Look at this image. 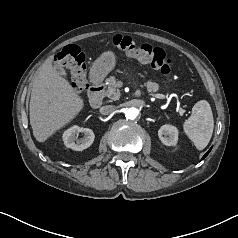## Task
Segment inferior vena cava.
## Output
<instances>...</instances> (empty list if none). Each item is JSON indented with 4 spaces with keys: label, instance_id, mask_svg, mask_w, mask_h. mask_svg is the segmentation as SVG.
Wrapping results in <instances>:
<instances>
[{
    "label": "inferior vena cava",
    "instance_id": "inferior-vena-cava-1",
    "mask_svg": "<svg viewBox=\"0 0 238 238\" xmlns=\"http://www.w3.org/2000/svg\"><path fill=\"white\" fill-rule=\"evenodd\" d=\"M115 109L116 107L114 105H106L101 107L100 111L102 114L108 115V114H111Z\"/></svg>",
    "mask_w": 238,
    "mask_h": 238
}]
</instances>
